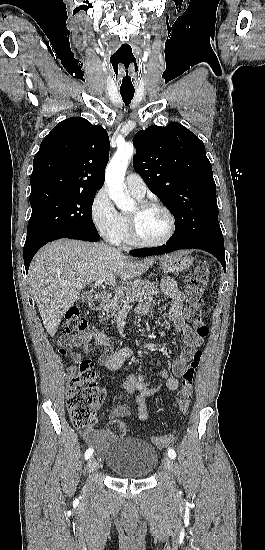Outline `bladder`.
<instances>
[{"mask_svg": "<svg viewBox=\"0 0 265 550\" xmlns=\"http://www.w3.org/2000/svg\"><path fill=\"white\" fill-rule=\"evenodd\" d=\"M104 457L107 467L115 475L132 479L146 478L158 462L157 450L133 437H112Z\"/></svg>", "mask_w": 265, "mask_h": 550, "instance_id": "bladder-1", "label": "bladder"}]
</instances>
